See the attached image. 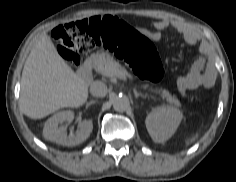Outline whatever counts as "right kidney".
<instances>
[{
  "mask_svg": "<svg viewBox=\"0 0 236 182\" xmlns=\"http://www.w3.org/2000/svg\"><path fill=\"white\" fill-rule=\"evenodd\" d=\"M73 119L74 113L70 110L55 113L44 125V138L56 144L69 147L83 143L90 136L93 124L90 120H84L79 123L78 131L75 134L70 133L68 135L66 126L63 123L70 124Z\"/></svg>",
  "mask_w": 236,
  "mask_h": 182,
  "instance_id": "ca27d5eb",
  "label": "right kidney"
}]
</instances>
